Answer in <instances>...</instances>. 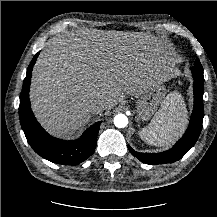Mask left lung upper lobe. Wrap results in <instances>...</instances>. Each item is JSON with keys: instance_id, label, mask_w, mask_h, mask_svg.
Instances as JSON below:
<instances>
[{"instance_id": "5c2ea615", "label": "left lung upper lobe", "mask_w": 217, "mask_h": 217, "mask_svg": "<svg viewBox=\"0 0 217 217\" xmlns=\"http://www.w3.org/2000/svg\"><path fill=\"white\" fill-rule=\"evenodd\" d=\"M199 77H203V67L199 61V59H196L195 61V66L194 68L192 69Z\"/></svg>"}]
</instances>
